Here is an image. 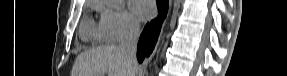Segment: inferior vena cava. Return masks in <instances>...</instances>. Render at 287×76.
Listing matches in <instances>:
<instances>
[{
  "instance_id": "obj_1",
  "label": "inferior vena cava",
  "mask_w": 287,
  "mask_h": 76,
  "mask_svg": "<svg viewBox=\"0 0 287 76\" xmlns=\"http://www.w3.org/2000/svg\"><path fill=\"white\" fill-rule=\"evenodd\" d=\"M139 35V24L131 21L126 29L123 39L118 46V50L127 57L134 69L137 67L136 47Z\"/></svg>"
}]
</instances>
